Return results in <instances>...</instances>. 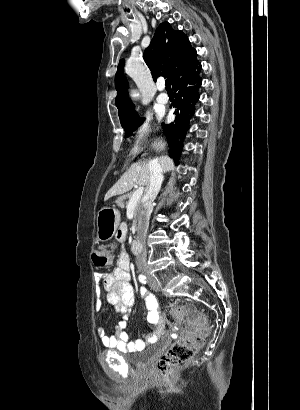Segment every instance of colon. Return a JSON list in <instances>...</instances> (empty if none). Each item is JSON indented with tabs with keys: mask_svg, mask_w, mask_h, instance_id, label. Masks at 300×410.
<instances>
[{
	"mask_svg": "<svg viewBox=\"0 0 300 410\" xmlns=\"http://www.w3.org/2000/svg\"><path fill=\"white\" fill-rule=\"evenodd\" d=\"M120 237L118 236L119 240ZM92 261L97 269L109 268L113 261L112 249L95 251L92 254ZM172 312L176 316L175 322L185 330L182 337L156 360V371L162 377H168L174 370L189 363L195 352L204 345L209 333L207 318L194 305H175Z\"/></svg>",
	"mask_w": 300,
	"mask_h": 410,
	"instance_id": "1",
	"label": "colon"
}]
</instances>
